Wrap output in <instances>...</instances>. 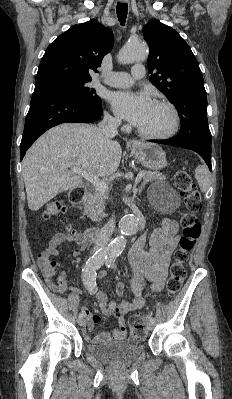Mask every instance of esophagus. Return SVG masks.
<instances>
[{"label":"esophagus","instance_id":"obj_1","mask_svg":"<svg viewBox=\"0 0 232 399\" xmlns=\"http://www.w3.org/2000/svg\"><path fill=\"white\" fill-rule=\"evenodd\" d=\"M127 1L128 0H120V2H122V3H125ZM140 144H141V142L139 140H134L132 143V147H138V146H140Z\"/></svg>","mask_w":232,"mask_h":399}]
</instances>
